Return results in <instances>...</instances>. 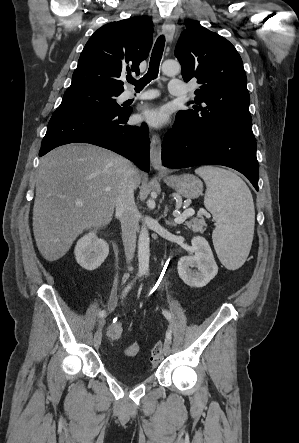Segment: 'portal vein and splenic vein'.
I'll use <instances>...</instances> for the list:
<instances>
[{"instance_id":"obj_1","label":"portal vein and splenic vein","mask_w":299,"mask_h":443,"mask_svg":"<svg viewBox=\"0 0 299 443\" xmlns=\"http://www.w3.org/2000/svg\"><path fill=\"white\" fill-rule=\"evenodd\" d=\"M76 205L82 206V203L81 202H76ZM194 213H195L194 210L191 209V210H186L183 214H177L176 217H175V222L177 224H182V223L185 222V220L188 217L193 216ZM204 213H205L204 211H200L199 212V214H204Z\"/></svg>"}]
</instances>
